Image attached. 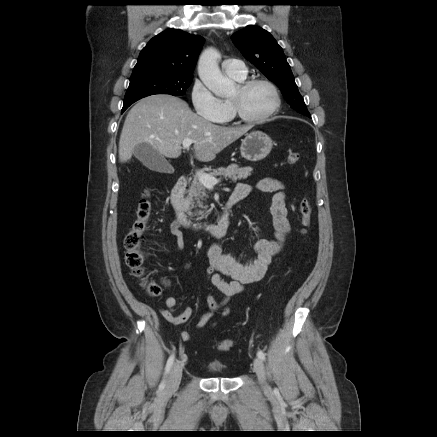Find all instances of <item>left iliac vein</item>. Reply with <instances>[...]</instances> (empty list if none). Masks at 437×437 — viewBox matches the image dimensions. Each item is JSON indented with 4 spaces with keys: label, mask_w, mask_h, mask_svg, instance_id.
Returning <instances> with one entry per match:
<instances>
[{
    "label": "left iliac vein",
    "mask_w": 437,
    "mask_h": 437,
    "mask_svg": "<svg viewBox=\"0 0 437 437\" xmlns=\"http://www.w3.org/2000/svg\"><path fill=\"white\" fill-rule=\"evenodd\" d=\"M253 369L265 391H269L270 387L266 383L265 370L263 361L260 358H255L253 362Z\"/></svg>",
    "instance_id": "1"
}]
</instances>
